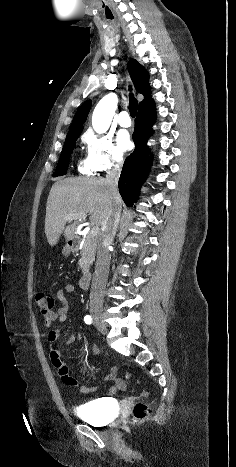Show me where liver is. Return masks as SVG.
Here are the masks:
<instances>
[{
  "label": "liver",
  "instance_id": "6515ba94",
  "mask_svg": "<svg viewBox=\"0 0 236 467\" xmlns=\"http://www.w3.org/2000/svg\"><path fill=\"white\" fill-rule=\"evenodd\" d=\"M113 202L121 207V198L113 199L104 178H66L56 182L46 205L45 234L49 245H56L61 234L67 241L74 239L88 215L92 225L102 226ZM68 215L73 216L71 220Z\"/></svg>",
  "mask_w": 236,
  "mask_h": 467
}]
</instances>
